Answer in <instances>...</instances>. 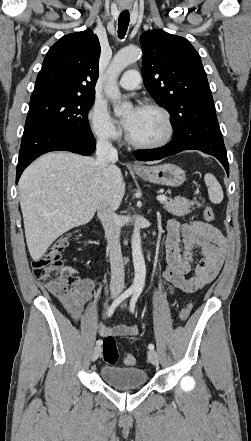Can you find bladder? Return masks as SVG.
<instances>
[{"label": "bladder", "mask_w": 251, "mask_h": 441, "mask_svg": "<svg viewBox=\"0 0 251 441\" xmlns=\"http://www.w3.org/2000/svg\"><path fill=\"white\" fill-rule=\"evenodd\" d=\"M100 377L106 384L117 389L142 387L148 382L147 372L136 367L105 365L100 369Z\"/></svg>", "instance_id": "31cf9c89"}]
</instances>
